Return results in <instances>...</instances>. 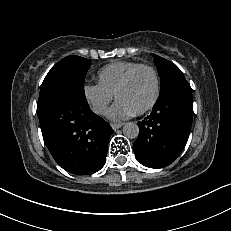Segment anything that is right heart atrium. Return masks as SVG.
<instances>
[{
  "mask_svg": "<svg viewBox=\"0 0 231 231\" xmlns=\"http://www.w3.org/2000/svg\"><path fill=\"white\" fill-rule=\"evenodd\" d=\"M83 94L92 110L103 115L114 98V94L98 83H86L83 87Z\"/></svg>",
  "mask_w": 231,
  "mask_h": 231,
  "instance_id": "obj_1",
  "label": "right heart atrium"
}]
</instances>
